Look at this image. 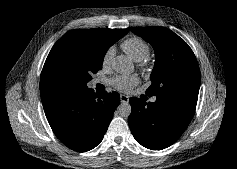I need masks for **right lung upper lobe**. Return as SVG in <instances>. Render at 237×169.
Masks as SVG:
<instances>
[{"label":"right lung upper lobe","instance_id":"1","mask_svg":"<svg viewBox=\"0 0 237 169\" xmlns=\"http://www.w3.org/2000/svg\"><path fill=\"white\" fill-rule=\"evenodd\" d=\"M128 31L129 29H78L67 32L60 39L80 38L105 50L127 34ZM61 89L63 88L60 86L47 83L42 78L40 79L41 98Z\"/></svg>","mask_w":237,"mask_h":169}]
</instances>
